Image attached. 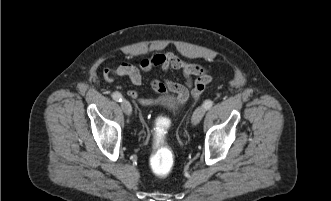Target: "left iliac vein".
<instances>
[{
    "instance_id": "obj_1",
    "label": "left iliac vein",
    "mask_w": 331,
    "mask_h": 201,
    "mask_svg": "<svg viewBox=\"0 0 331 201\" xmlns=\"http://www.w3.org/2000/svg\"><path fill=\"white\" fill-rule=\"evenodd\" d=\"M205 111L206 109L203 106L196 108L191 118V122L193 125H197L201 121L205 114Z\"/></svg>"
}]
</instances>
